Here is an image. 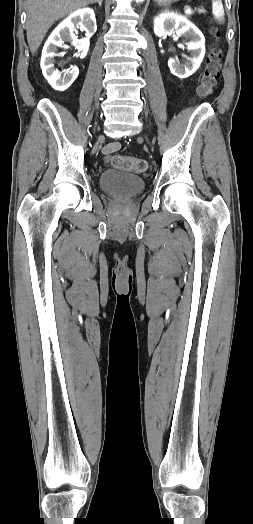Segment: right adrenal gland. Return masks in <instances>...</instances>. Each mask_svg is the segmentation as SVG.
I'll return each mask as SVG.
<instances>
[{
  "label": "right adrenal gland",
  "instance_id": "1",
  "mask_svg": "<svg viewBox=\"0 0 253 524\" xmlns=\"http://www.w3.org/2000/svg\"><path fill=\"white\" fill-rule=\"evenodd\" d=\"M102 1L103 0H95L94 3H98L99 7H101L102 6Z\"/></svg>",
  "mask_w": 253,
  "mask_h": 524
}]
</instances>
